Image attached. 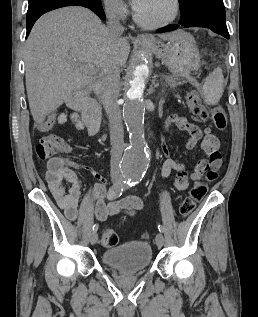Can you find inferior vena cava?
Listing matches in <instances>:
<instances>
[{
    "instance_id": "inferior-vena-cava-1",
    "label": "inferior vena cava",
    "mask_w": 258,
    "mask_h": 317,
    "mask_svg": "<svg viewBox=\"0 0 258 317\" xmlns=\"http://www.w3.org/2000/svg\"><path fill=\"white\" fill-rule=\"evenodd\" d=\"M106 12L110 34H121L124 28L118 18L116 10H114V4H112V2L106 4ZM102 74L101 100L108 114L110 126L111 177L116 180H121L123 174L120 171V161L124 148V132L122 114L119 104H116V100L118 96H120L118 90L120 84L119 66H115L113 60H107L106 64L102 66Z\"/></svg>"
}]
</instances>
